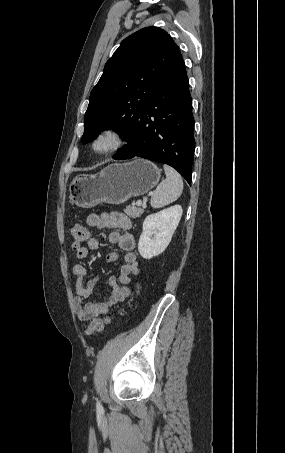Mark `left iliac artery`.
Wrapping results in <instances>:
<instances>
[{"label":"left iliac artery","instance_id":"44dca946","mask_svg":"<svg viewBox=\"0 0 285 453\" xmlns=\"http://www.w3.org/2000/svg\"><path fill=\"white\" fill-rule=\"evenodd\" d=\"M96 406H97V409H101L102 408V406H101L99 401H97V405Z\"/></svg>","mask_w":285,"mask_h":453}]
</instances>
